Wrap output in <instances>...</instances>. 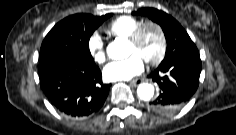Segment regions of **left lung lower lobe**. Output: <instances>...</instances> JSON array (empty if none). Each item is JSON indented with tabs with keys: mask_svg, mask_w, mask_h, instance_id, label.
I'll return each instance as SVG.
<instances>
[{
	"mask_svg": "<svg viewBox=\"0 0 236 135\" xmlns=\"http://www.w3.org/2000/svg\"><path fill=\"white\" fill-rule=\"evenodd\" d=\"M201 68L198 50L160 64L149 76L160 88L159 96L149 103V108L160 114H170L183 107L198 88Z\"/></svg>",
	"mask_w": 236,
	"mask_h": 135,
	"instance_id": "1",
	"label": "left lung lower lobe"
}]
</instances>
